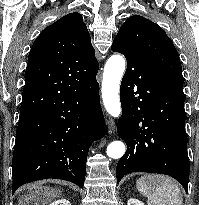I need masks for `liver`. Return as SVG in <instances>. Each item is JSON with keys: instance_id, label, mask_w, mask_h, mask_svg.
I'll list each match as a JSON object with an SVG mask.
<instances>
[{"instance_id": "obj_1", "label": "liver", "mask_w": 199, "mask_h": 205, "mask_svg": "<svg viewBox=\"0 0 199 205\" xmlns=\"http://www.w3.org/2000/svg\"><path fill=\"white\" fill-rule=\"evenodd\" d=\"M35 192L33 195L31 196H25L24 197V204H35L37 205L36 200H41L40 204L44 205L47 204L49 201H51L52 199H54L57 196L61 195V192L59 190H52L49 191L47 189H43L40 186H35Z\"/></svg>"}]
</instances>
